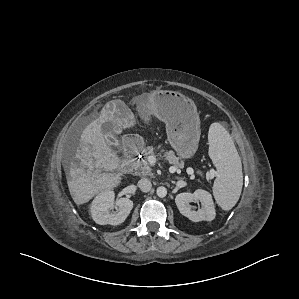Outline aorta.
Masks as SVG:
<instances>
[{"label":"aorta","instance_id":"762f6f07","mask_svg":"<svg viewBox=\"0 0 299 299\" xmlns=\"http://www.w3.org/2000/svg\"><path fill=\"white\" fill-rule=\"evenodd\" d=\"M157 196L160 198H164L167 195V189L163 186H160L156 190Z\"/></svg>","mask_w":299,"mask_h":299}]
</instances>
